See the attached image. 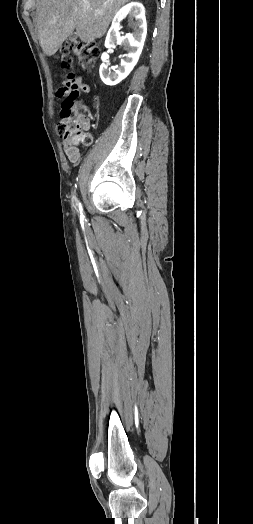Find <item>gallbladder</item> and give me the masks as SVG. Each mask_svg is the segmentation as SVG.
Segmentation results:
<instances>
[{"label":"gallbladder","mask_w":253,"mask_h":524,"mask_svg":"<svg viewBox=\"0 0 253 524\" xmlns=\"http://www.w3.org/2000/svg\"><path fill=\"white\" fill-rule=\"evenodd\" d=\"M77 39V35L75 33H71V35L69 36V40L71 42L75 41Z\"/></svg>","instance_id":"1"}]
</instances>
